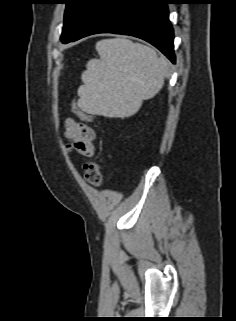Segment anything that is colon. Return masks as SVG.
Instances as JSON below:
<instances>
[{
  "label": "colon",
  "instance_id": "obj_1",
  "mask_svg": "<svg viewBox=\"0 0 236 321\" xmlns=\"http://www.w3.org/2000/svg\"><path fill=\"white\" fill-rule=\"evenodd\" d=\"M71 108L72 112L76 114L79 118L85 120V121H90L92 120V115L86 113L83 111L78 102L73 100L71 103ZM84 176L86 181L94 186V187H99L102 183V173L100 166L96 160H90L88 161L85 166H84Z\"/></svg>",
  "mask_w": 236,
  "mask_h": 321
}]
</instances>
